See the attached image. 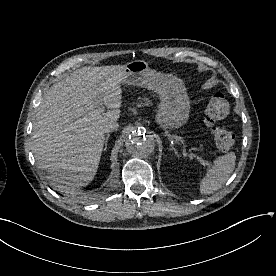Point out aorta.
Masks as SVG:
<instances>
[{"label":"aorta","instance_id":"762f6f07","mask_svg":"<svg viewBox=\"0 0 276 276\" xmlns=\"http://www.w3.org/2000/svg\"><path fill=\"white\" fill-rule=\"evenodd\" d=\"M126 149L137 158L148 157L155 149V139L148 133L135 131L127 138Z\"/></svg>","mask_w":276,"mask_h":276}]
</instances>
